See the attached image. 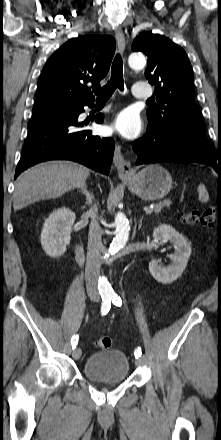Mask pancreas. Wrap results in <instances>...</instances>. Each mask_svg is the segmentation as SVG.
<instances>
[{
    "label": "pancreas",
    "mask_w": 221,
    "mask_h": 440,
    "mask_svg": "<svg viewBox=\"0 0 221 440\" xmlns=\"http://www.w3.org/2000/svg\"><path fill=\"white\" fill-rule=\"evenodd\" d=\"M171 205V201L170 200H164L158 204L155 205V207L152 209L153 212H155L156 214L160 213L161 210L166 207L169 208Z\"/></svg>",
    "instance_id": "1"
}]
</instances>
